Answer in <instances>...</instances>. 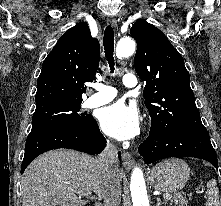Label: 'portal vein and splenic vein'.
<instances>
[{"instance_id": "1", "label": "portal vein and splenic vein", "mask_w": 221, "mask_h": 206, "mask_svg": "<svg viewBox=\"0 0 221 206\" xmlns=\"http://www.w3.org/2000/svg\"><path fill=\"white\" fill-rule=\"evenodd\" d=\"M170 197H171V195H164L163 196V198L166 199V200L170 199Z\"/></svg>"}]
</instances>
